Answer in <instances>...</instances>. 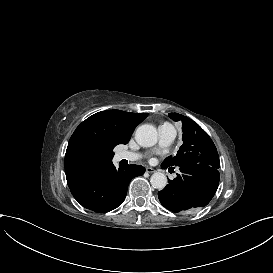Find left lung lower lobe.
Masks as SVG:
<instances>
[{
	"label": "left lung lower lobe",
	"mask_w": 273,
	"mask_h": 273,
	"mask_svg": "<svg viewBox=\"0 0 273 273\" xmlns=\"http://www.w3.org/2000/svg\"><path fill=\"white\" fill-rule=\"evenodd\" d=\"M162 164V168H167ZM170 168H174L169 166ZM181 175L158 192L161 204L172 212L204 207L213 198L220 179L218 169L206 164L180 166Z\"/></svg>",
	"instance_id": "1"
}]
</instances>
